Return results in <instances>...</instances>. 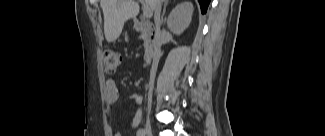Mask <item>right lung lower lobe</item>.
I'll return each mask as SVG.
<instances>
[{"instance_id":"1","label":"right lung lower lobe","mask_w":325,"mask_h":136,"mask_svg":"<svg viewBox=\"0 0 325 136\" xmlns=\"http://www.w3.org/2000/svg\"><path fill=\"white\" fill-rule=\"evenodd\" d=\"M201 7L202 14H205L210 3V0H198Z\"/></svg>"}]
</instances>
